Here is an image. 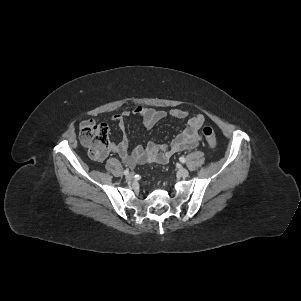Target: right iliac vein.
Listing matches in <instances>:
<instances>
[{
	"label": "right iliac vein",
	"instance_id": "63e3f726",
	"mask_svg": "<svg viewBox=\"0 0 301 301\" xmlns=\"http://www.w3.org/2000/svg\"><path fill=\"white\" fill-rule=\"evenodd\" d=\"M133 177H134V174H133V173H129V174L126 175V179H127V180H132Z\"/></svg>",
	"mask_w": 301,
	"mask_h": 301
}]
</instances>
